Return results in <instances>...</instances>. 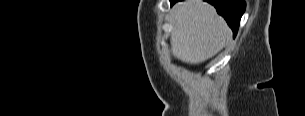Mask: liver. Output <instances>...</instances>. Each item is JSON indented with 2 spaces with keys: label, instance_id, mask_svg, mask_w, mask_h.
Instances as JSON below:
<instances>
[{
  "label": "liver",
  "instance_id": "1",
  "mask_svg": "<svg viewBox=\"0 0 305 116\" xmlns=\"http://www.w3.org/2000/svg\"><path fill=\"white\" fill-rule=\"evenodd\" d=\"M171 51L175 58L199 64L215 56L230 40L232 32L215 8L202 0L177 3Z\"/></svg>",
  "mask_w": 305,
  "mask_h": 116
}]
</instances>
